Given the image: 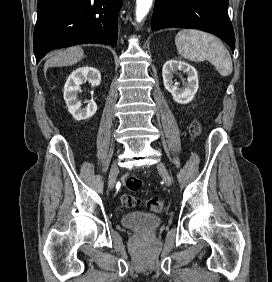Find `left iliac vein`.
Instances as JSON below:
<instances>
[{
  "instance_id": "1",
  "label": "left iliac vein",
  "mask_w": 272,
  "mask_h": 282,
  "mask_svg": "<svg viewBox=\"0 0 272 282\" xmlns=\"http://www.w3.org/2000/svg\"><path fill=\"white\" fill-rule=\"evenodd\" d=\"M157 169H158L162 179L164 180L165 184L167 186H171V184H172L171 176H170L168 170L166 169V167L164 166V164L162 162L158 163Z\"/></svg>"
}]
</instances>
